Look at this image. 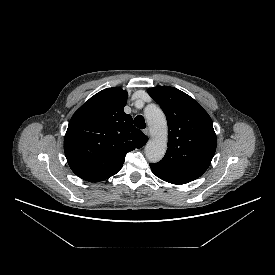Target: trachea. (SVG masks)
Instances as JSON below:
<instances>
[{"instance_id": "trachea-1", "label": "trachea", "mask_w": 275, "mask_h": 275, "mask_svg": "<svg viewBox=\"0 0 275 275\" xmlns=\"http://www.w3.org/2000/svg\"><path fill=\"white\" fill-rule=\"evenodd\" d=\"M134 125L140 129L146 128V123L142 115H138L134 119Z\"/></svg>"}]
</instances>
